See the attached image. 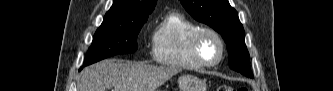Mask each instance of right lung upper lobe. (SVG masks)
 Returning a JSON list of instances; mask_svg holds the SVG:
<instances>
[{"instance_id": "cb5924a9", "label": "right lung upper lobe", "mask_w": 333, "mask_h": 91, "mask_svg": "<svg viewBox=\"0 0 333 91\" xmlns=\"http://www.w3.org/2000/svg\"><path fill=\"white\" fill-rule=\"evenodd\" d=\"M156 0H114L112 7L106 13V20H133L148 18L153 11Z\"/></svg>"}]
</instances>
